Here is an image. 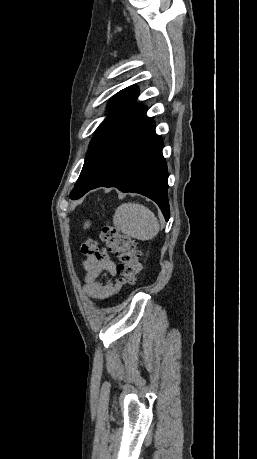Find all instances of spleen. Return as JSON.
I'll use <instances>...</instances> for the list:
<instances>
[{
  "label": "spleen",
  "instance_id": "3e777b00",
  "mask_svg": "<svg viewBox=\"0 0 257 459\" xmlns=\"http://www.w3.org/2000/svg\"><path fill=\"white\" fill-rule=\"evenodd\" d=\"M113 223L123 234L141 241L154 238L160 228L154 213L139 203L121 204L115 211Z\"/></svg>",
  "mask_w": 257,
  "mask_h": 459
}]
</instances>
